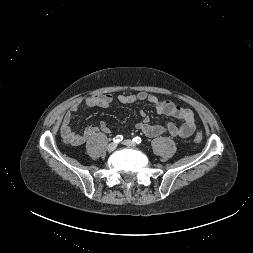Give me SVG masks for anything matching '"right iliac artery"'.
Masks as SVG:
<instances>
[{
    "instance_id": "1",
    "label": "right iliac artery",
    "mask_w": 253,
    "mask_h": 253,
    "mask_svg": "<svg viewBox=\"0 0 253 253\" xmlns=\"http://www.w3.org/2000/svg\"><path fill=\"white\" fill-rule=\"evenodd\" d=\"M122 140H123V136L122 135H117L116 137L113 138V141L115 143H119Z\"/></svg>"
}]
</instances>
